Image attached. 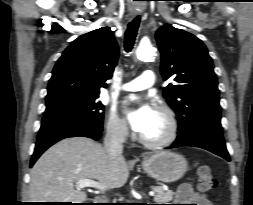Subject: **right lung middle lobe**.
<instances>
[{
  "label": "right lung middle lobe",
  "mask_w": 253,
  "mask_h": 205,
  "mask_svg": "<svg viewBox=\"0 0 253 205\" xmlns=\"http://www.w3.org/2000/svg\"><path fill=\"white\" fill-rule=\"evenodd\" d=\"M98 95H72L47 101L42 121L73 120L101 125L104 106Z\"/></svg>",
  "instance_id": "obj_1"
}]
</instances>
